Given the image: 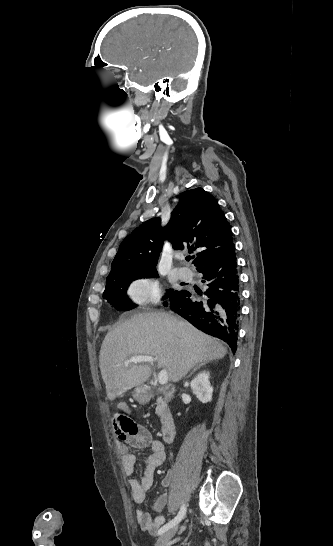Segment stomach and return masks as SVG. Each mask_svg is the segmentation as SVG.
<instances>
[{"mask_svg": "<svg viewBox=\"0 0 333 546\" xmlns=\"http://www.w3.org/2000/svg\"><path fill=\"white\" fill-rule=\"evenodd\" d=\"M132 396L134 400L138 403H145L148 399L147 391L143 386H137L133 390Z\"/></svg>", "mask_w": 333, "mask_h": 546, "instance_id": "obj_1", "label": "stomach"}]
</instances>
